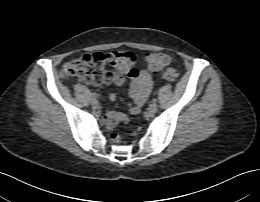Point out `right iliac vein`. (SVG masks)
Segmentation results:
<instances>
[{
  "label": "right iliac vein",
  "mask_w": 260,
  "mask_h": 202,
  "mask_svg": "<svg viewBox=\"0 0 260 202\" xmlns=\"http://www.w3.org/2000/svg\"><path fill=\"white\" fill-rule=\"evenodd\" d=\"M91 104H92L93 107H97L99 105V102H98L97 99L94 98V99L91 100Z\"/></svg>",
  "instance_id": "right-iliac-vein-1"
}]
</instances>
